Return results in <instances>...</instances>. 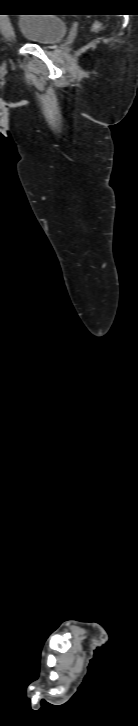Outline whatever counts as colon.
Wrapping results in <instances>:
<instances>
[{"label": "colon", "mask_w": 138, "mask_h": 726, "mask_svg": "<svg viewBox=\"0 0 138 726\" xmlns=\"http://www.w3.org/2000/svg\"><path fill=\"white\" fill-rule=\"evenodd\" d=\"M100 28H101V23H100V22H95V23H94V24L92 25V30H93V31H98V30H99Z\"/></svg>", "instance_id": "1"}]
</instances>
